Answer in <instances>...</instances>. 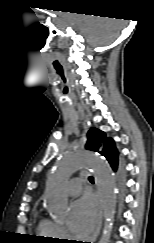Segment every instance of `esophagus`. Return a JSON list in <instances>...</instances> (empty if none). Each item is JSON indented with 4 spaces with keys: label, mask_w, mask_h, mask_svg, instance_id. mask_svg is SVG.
<instances>
[{
    "label": "esophagus",
    "mask_w": 154,
    "mask_h": 243,
    "mask_svg": "<svg viewBox=\"0 0 154 243\" xmlns=\"http://www.w3.org/2000/svg\"><path fill=\"white\" fill-rule=\"evenodd\" d=\"M102 222H103V209L102 205L99 202L98 207H97V222H96V227L94 232L91 234V236L88 238L87 243H94L96 238L98 237L101 227H102Z\"/></svg>",
    "instance_id": "1"
}]
</instances>
